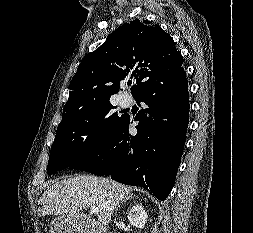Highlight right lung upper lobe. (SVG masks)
I'll return each mask as SVG.
<instances>
[{
  "instance_id": "right-lung-upper-lobe-1",
  "label": "right lung upper lobe",
  "mask_w": 253,
  "mask_h": 233,
  "mask_svg": "<svg viewBox=\"0 0 253 233\" xmlns=\"http://www.w3.org/2000/svg\"><path fill=\"white\" fill-rule=\"evenodd\" d=\"M176 43L159 25L134 20L118 27L94 52L87 54L73 76L63 118L109 101L120 81L136 80V96L148 83L182 66Z\"/></svg>"
}]
</instances>
